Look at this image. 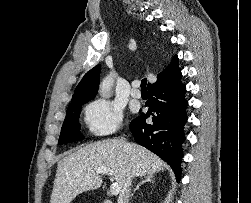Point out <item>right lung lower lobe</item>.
Instances as JSON below:
<instances>
[{"label":"right lung lower lobe","mask_w":251,"mask_h":203,"mask_svg":"<svg viewBox=\"0 0 251 203\" xmlns=\"http://www.w3.org/2000/svg\"><path fill=\"white\" fill-rule=\"evenodd\" d=\"M178 64L162 79L148 87L149 99L146 113H141L130 123L135 141L158 155L173 169L177 180L181 177L182 144L187 122L188 101L186 87L181 82ZM151 117L152 122L146 123Z\"/></svg>","instance_id":"98d812e1"}]
</instances>
